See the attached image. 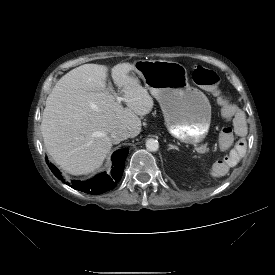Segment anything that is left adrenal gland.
Returning <instances> with one entry per match:
<instances>
[{
	"instance_id": "1",
	"label": "left adrenal gland",
	"mask_w": 275,
	"mask_h": 275,
	"mask_svg": "<svg viewBox=\"0 0 275 275\" xmlns=\"http://www.w3.org/2000/svg\"><path fill=\"white\" fill-rule=\"evenodd\" d=\"M170 149H176V150H178V147L177 146H174V145H172V144H169V150Z\"/></svg>"
}]
</instances>
